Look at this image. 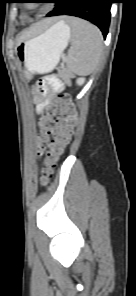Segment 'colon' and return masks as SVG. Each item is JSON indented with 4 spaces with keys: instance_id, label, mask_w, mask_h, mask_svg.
Returning a JSON list of instances; mask_svg holds the SVG:
<instances>
[{
    "instance_id": "colon-1",
    "label": "colon",
    "mask_w": 136,
    "mask_h": 296,
    "mask_svg": "<svg viewBox=\"0 0 136 296\" xmlns=\"http://www.w3.org/2000/svg\"><path fill=\"white\" fill-rule=\"evenodd\" d=\"M52 81L53 78H46ZM76 112L68 93L53 97L45 108L36 134L38 153H45L42 168L43 183L53 175L55 167L70 141L75 126Z\"/></svg>"
}]
</instances>
